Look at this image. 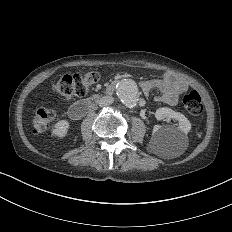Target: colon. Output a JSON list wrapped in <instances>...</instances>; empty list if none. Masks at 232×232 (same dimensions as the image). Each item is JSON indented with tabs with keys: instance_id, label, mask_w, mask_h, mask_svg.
<instances>
[{
	"instance_id": "1",
	"label": "colon",
	"mask_w": 232,
	"mask_h": 232,
	"mask_svg": "<svg viewBox=\"0 0 232 232\" xmlns=\"http://www.w3.org/2000/svg\"><path fill=\"white\" fill-rule=\"evenodd\" d=\"M99 80V75L95 71H83V74H60V81H56L52 86V91L56 95L64 94L71 96L74 93L83 95L87 89H92L93 85ZM88 82L90 84H85ZM178 107H184L187 111V117L199 118L203 114L200 106V96L193 90L188 89L182 94V102H178ZM37 116H33L32 120L36 121L39 131H52L51 117L56 113L51 106H42L36 108Z\"/></svg>"
}]
</instances>
